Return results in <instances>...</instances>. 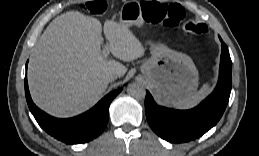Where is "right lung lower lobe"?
I'll return each instance as SVG.
<instances>
[{"instance_id": "right-lung-lower-lobe-1", "label": "right lung lower lobe", "mask_w": 259, "mask_h": 156, "mask_svg": "<svg viewBox=\"0 0 259 156\" xmlns=\"http://www.w3.org/2000/svg\"><path fill=\"white\" fill-rule=\"evenodd\" d=\"M121 90L122 88H119L110 92L95 107L84 114L68 119H58L41 111L33 103L28 89L27 77H25L26 100L36 121L48 134L69 144L88 142L103 132L109 119V105Z\"/></svg>"}]
</instances>
